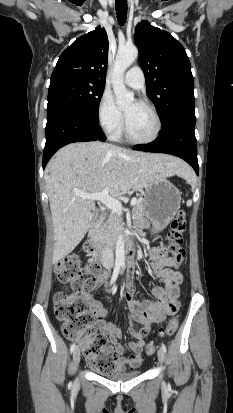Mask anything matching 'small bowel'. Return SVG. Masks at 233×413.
<instances>
[{
    "label": "small bowel",
    "instance_id": "c3829d8e",
    "mask_svg": "<svg viewBox=\"0 0 233 413\" xmlns=\"http://www.w3.org/2000/svg\"><path fill=\"white\" fill-rule=\"evenodd\" d=\"M145 226L146 223L144 221L138 222L139 228H144ZM150 257L151 268L155 275L163 282L164 288L155 287L152 289L151 293L154 301L151 302H139L135 300L133 298L134 289L131 286V282L122 294L131 324L129 334L136 339V341L128 344L129 349L133 352L132 355L128 357L124 356L125 348L119 342L122 336L121 329L108 321L107 310L94 299L91 292L97 289L103 280L97 278L93 289L84 293V298L101 332L108 336L110 343L114 347L113 352L116 355L117 369H124L126 367L136 368L141 364L145 345L144 338L149 333L151 326L154 323L162 322L168 314L173 313L171 308L179 306L178 294L179 285L182 282V275L180 272H175L170 269L174 264V260L167 255L163 247L151 249ZM135 324H139L141 327L137 329L134 327Z\"/></svg>",
    "mask_w": 233,
    "mask_h": 413
}]
</instances>
